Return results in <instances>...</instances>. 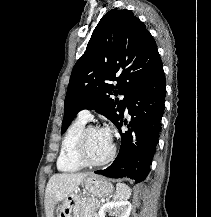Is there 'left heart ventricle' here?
<instances>
[{"label":"left heart ventricle","instance_id":"b2bd125f","mask_svg":"<svg viewBox=\"0 0 211 217\" xmlns=\"http://www.w3.org/2000/svg\"><path fill=\"white\" fill-rule=\"evenodd\" d=\"M112 142L101 132L91 130L87 137V153L90 159L98 161L110 153Z\"/></svg>","mask_w":211,"mask_h":217}]
</instances>
